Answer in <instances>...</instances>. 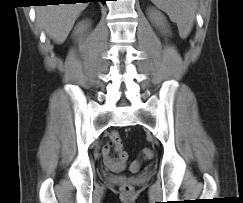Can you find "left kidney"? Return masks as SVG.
Listing matches in <instances>:
<instances>
[{
	"label": "left kidney",
	"mask_w": 243,
	"mask_h": 203,
	"mask_svg": "<svg viewBox=\"0 0 243 203\" xmlns=\"http://www.w3.org/2000/svg\"><path fill=\"white\" fill-rule=\"evenodd\" d=\"M149 20L151 21V23L153 25H155L156 27L160 28V29H165V32H169L166 28H167V23H166V19L164 17V15L157 11V10H152L149 14H148Z\"/></svg>",
	"instance_id": "obj_1"
}]
</instances>
